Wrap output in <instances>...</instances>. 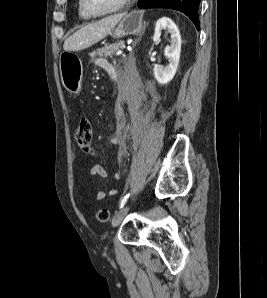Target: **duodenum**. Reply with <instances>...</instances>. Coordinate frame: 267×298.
Wrapping results in <instances>:
<instances>
[{"instance_id":"duodenum-1","label":"duodenum","mask_w":267,"mask_h":298,"mask_svg":"<svg viewBox=\"0 0 267 298\" xmlns=\"http://www.w3.org/2000/svg\"><path fill=\"white\" fill-rule=\"evenodd\" d=\"M110 76L113 80H117V72L115 69L110 72Z\"/></svg>"}]
</instances>
